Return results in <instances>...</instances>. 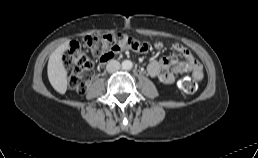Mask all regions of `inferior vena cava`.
<instances>
[{"instance_id": "obj_1", "label": "inferior vena cava", "mask_w": 258, "mask_h": 158, "mask_svg": "<svg viewBox=\"0 0 258 158\" xmlns=\"http://www.w3.org/2000/svg\"><path fill=\"white\" fill-rule=\"evenodd\" d=\"M120 67H121V65L117 60H111L107 63L106 70L109 73H113V72H116L117 70H119Z\"/></svg>"}]
</instances>
